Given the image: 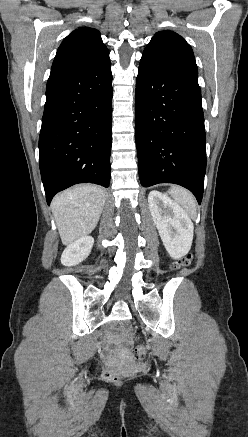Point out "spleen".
<instances>
[{
	"mask_svg": "<svg viewBox=\"0 0 248 437\" xmlns=\"http://www.w3.org/2000/svg\"><path fill=\"white\" fill-rule=\"evenodd\" d=\"M169 194L176 203L184 208L192 219L196 217V200L191 192L179 186H172L169 190Z\"/></svg>",
	"mask_w": 248,
	"mask_h": 437,
	"instance_id": "obj_1",
	"label": "spleen"
}]
</instances>
